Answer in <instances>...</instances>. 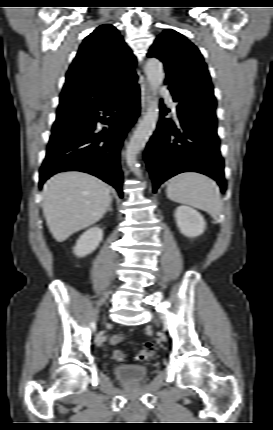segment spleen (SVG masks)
Masks as SVG:
<instances>
[{"instance_id":"obj_1","label":"spleen","mask_w":273,"mask_h":430,"mask_svg":"<svg viewBox=\"0 0 273 430\" xmlns=\"http://www.w3.org/2000/svg\"><path fill=\"white\" fill-rule=\"evenodd\" d=\"M167 197L177 203L204 210L213 217L223 211V202L216 183L197 172H183L172 177L166 189Z\"/></svg>"}]
</instances>
